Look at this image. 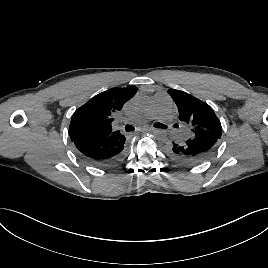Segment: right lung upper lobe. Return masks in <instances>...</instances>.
<instances>
[{
	"mask_svg": "<svg viewBox=\"0 0 268 268\" xmlns=\"http://www.w3.org/2000/svg\"><path fill=\"white\" fill-rule=\"evenodd\" d=\"M137 88H111L78 108L71 119L69 136L72 142L82 139L107 137L119 131H112L113 115L137 92Z\"/></svg>",
	"mask_w": 268,
	"mask_h": 268,
	"instance_id": "right-lung-upper-lobe-1",
	"label": "right lung upper lobe"
}]
</instances>
